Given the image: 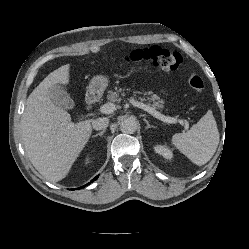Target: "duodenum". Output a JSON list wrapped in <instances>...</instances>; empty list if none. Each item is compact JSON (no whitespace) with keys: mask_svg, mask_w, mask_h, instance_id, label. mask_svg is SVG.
<instances>
[{"mask_svg":"<svg viewBox=\"0 0 249 249\" xmlns=\"http://www.w3.org/2000/svg\"><path fill=\"white\" fill-rule=\"evenodd\" d=\"M97 96H98V94L96 91H94V90L89 91L87 96H86L87 104H93L96 101Z\"/></svg>","mask_w":249,"mask_h":249,"instance_id":"410a0bca","label":"duodenum"}]
</instances>
